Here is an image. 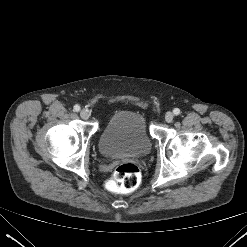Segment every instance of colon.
I'll return each mask as SVG.
<instances>
[{
  "label": "colon",
  "mask_w": 247,
  "mask_h": 247,
  "mask_svg": "<svg viewBox=\"0 0 247 247\" xmlns=\"http://www.w3.org/2000/svg\"><path fill=\"white\" fill-rule=\"evenodd\" d=\"M140 182L139 168L133 163H123L115 168L107 187L113 191L130 192L135 190Z\"/></svg>",
  "instance_id": "obj_1"
}]
</instances>
